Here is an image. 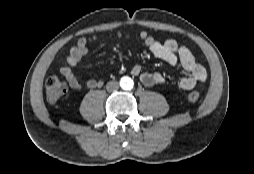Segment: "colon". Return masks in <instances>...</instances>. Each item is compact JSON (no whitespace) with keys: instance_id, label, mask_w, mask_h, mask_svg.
Here are the masks:
<instances>
[{"instance_id":"obj_1","label":"colon","mask_w":254,"mask_h":174,"mask_svg":"<svg viewBox=\"0 0 254 174\" xmlns=\"http://www.w3.org/2000/svg\"><path fill=\"white\" fill-rule=\"evenodd\" d=\"M88 43V41H87ZM67 84L60 77L53 75L46 80L45 83V94L46 99L50 103H56L67 93ZM190 102H197L200 95L196 91H192L187 95Z\"/></svg>"}]
</instances>
